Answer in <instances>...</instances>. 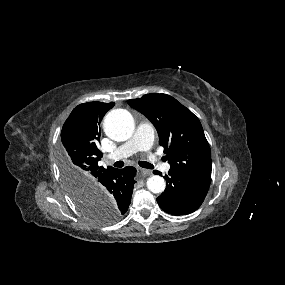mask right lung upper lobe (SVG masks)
Listing matches in <instances>:
<instances>
[{
    "mask_svg": "<svg viewBox=\"0 0 285 285\" xmlns=\"http://www.w3.org/2000/svg\"><path fill=\"white\" fill-rule=\"evenodd\" d=\"M114 102H89L78 105L65 121L61 131V155L71 168L82 188L93 191L90 186L97 178L115 168L98 166L102 152L97 147L100 140V123ZM94 193V191H93ZM95 197L97 194L95 193Z\"/></svg>",
    "mask_w": 285,
    "mask_h": 285,
    "instance_id": "cb5924a9",
    "label": "right lung upper lobe"
}]
</instances>
